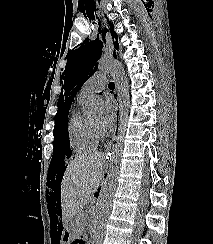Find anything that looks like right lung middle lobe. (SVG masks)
Returning a JSON list of instances; mask_svg holds the SVG:
<instances>
[{"label":"right lung middle lobe","instance_id":"right-lung-middle-lobe-1","mask_svg":"<svg viewBox=\"0 0 213 244\" xmlns=\"http://www.w3.org/2000/svg\"><path fill=\"white\" fill-rule=\"evenodd\" d=\"M54 152L53 157L50 163V168L48 171V180L53 177V179L57 178L60 170L64 168L65 161L64 159L67 156V159L71 156V151L69 149V145H63V143L57 139L58 134L54 130ZM56 134V136H55ZM67 144H69V141H67ZM68 151L69 154L68 155Z\"/></svg>","mask_w":213,"mask_h":244}]
</instances>
